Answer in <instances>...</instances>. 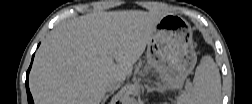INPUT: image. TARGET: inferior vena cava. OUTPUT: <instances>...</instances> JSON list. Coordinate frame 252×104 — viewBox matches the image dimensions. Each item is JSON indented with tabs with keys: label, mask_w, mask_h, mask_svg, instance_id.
Segmentation results:
<instances>
[{
	"label": "inferior vena cava",
	"mask_w": 252,
	"mask_h": 104,
	"mask_svg": "<svg viewBox=\"0 0 252 104\" xmlns=\"http://www.w3.org/2000/svg\"><path fill=\"white\" fill-rule=\"evenodd\" d=\"M121 86L120 80H110L106 86L107 92H114L118 90Z\"/></svg>",
	"instance_id": "602c4592"
}]
</instances>
